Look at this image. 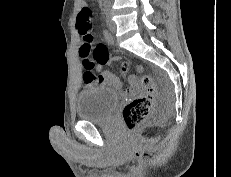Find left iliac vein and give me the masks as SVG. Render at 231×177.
<instances>
[{"mask_svg": "<svg viewBox=\"0 0 231 177\" xmlns=\"http://www.w3.org/2000/svg\"><path fill=\"white\" fill-rule=\"evenodd\" d=\"M106 22H107L108 29L112 33H115L116 32V23L112 20L110 13H108L106 16Z\"/></svg>", "mask_w": 231, "mask_h": 177, "instance_id": "1", "label": "left iliac vein"}]
</instances>
